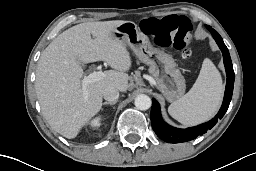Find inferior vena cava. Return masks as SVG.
<instances>
[{
    "label": "inferior vena cava",
    "mask_w": 256,
    "mask_h": 171,
    "mask_svg": "<svg viewBox=\"0 0 256 171\" xmlns=\"http://www.w3.org/2000/svg\"><path fill=\"white\" fill-rule=\"evenodd\" d=\"M103 97L105 100H107L109 102L116 101L119 97V91L115 87H112V86L107 87L103 91Z\"/></svg>",
    "instance_id": "obj_1"
}]
</instances>
